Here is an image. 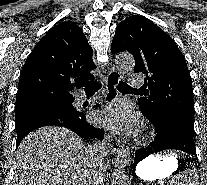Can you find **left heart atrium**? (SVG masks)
I'll return each mask as SVG.
<instances>
[{"mask_svg": "<svg viewBox=\"0 0 207 185\" xmlns=\"http://www.w3.org/2000/svg\"><path fill=\"white\" fill-rule=\"evenodd\" d=\"M99 119L114 131L126 135H135L141 127V120L125 102L106 108L100 113Z\"/></svg>", "mask_w": 207, "mask_h": 185, "instance_id": "obj_1", "label": "left heart atrium"}]
</instances>
